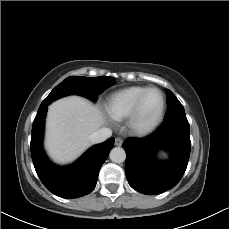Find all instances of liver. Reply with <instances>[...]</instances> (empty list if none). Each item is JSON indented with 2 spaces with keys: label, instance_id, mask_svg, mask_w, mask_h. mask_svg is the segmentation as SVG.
Wrapping results in <instances>:
<instances>
[{
  "label": "liver",
  "instance_id": "liver-1",
  "mask_svg": "<svg viewBox=\"0 0 229 229\" xmlns=\"http://www.w3.org/2000/svg\"><path fill=\"white\" fill-rule=\"evenodd\" d=\"M105 123L97 105L79 96H69L49 106L46 120L45 147L58 163H68L90 145L89 136Z\"/></svg>",
  "mask_w": 229,
  "mask_h": 229
}]
</instances>
